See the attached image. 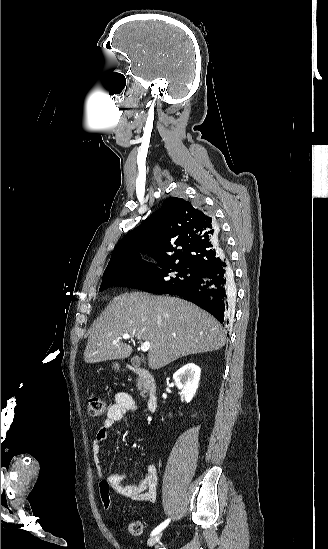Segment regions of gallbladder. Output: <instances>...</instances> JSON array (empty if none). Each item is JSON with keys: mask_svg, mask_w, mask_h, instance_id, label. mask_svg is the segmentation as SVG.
<instances>
[{"mask_svg": "<svg viewBox=\"0 0 328 549\" xmlns=\"http://www.w3.org/2000/svg\"><path fill=\"white\" fill-rule=\"evenodd\" d=\"M130 363L132 367H135V369H137V367H140L141 365V359H139V357H132Z\"/></svg>", "mask_w": 328, "mask_h": 549, "instance_id": "1", "label": "gallbladder"}]
</instances>
